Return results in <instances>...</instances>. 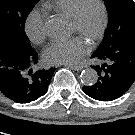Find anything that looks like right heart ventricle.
<instances>
[{
    "mask_svg": "<svg viewBox=\"0 0 135 135\" xmlns=\"http://www.w3.org/2000/svg\"><path fill=\"white\" fill-rule=\"evenodd\" d=\"M82 0H50L46 3V7L56 14L71 18L78 4Z\"/></svg>",
    "mask_w": 135,
    "mask_h": 135,
    "instance_id": "right-heart-ventricle-1",
    "label": "right heart ventricle"
}]
</instances>
